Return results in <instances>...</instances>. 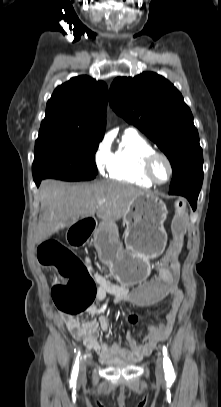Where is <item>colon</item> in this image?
I'll return each mask as SVG.
<instances>
[{"label":"colon","mask_w":221,"mask_h":407,"mask_svg":"<svg viewBox=\"0 0 221 407\" xmlns=\"http://www.w3.org/2000/svg\"><path fill=\"white\" fill-rule=\"evenodd\" d=\"M94 216H78L73 225H68V245L71 248L84 246L85 239H94ZM173 238L160 262L157 277H148L147 283H132V300L134 306L147 311L149 306H160L166 300V292H175L180 284L178 258L184 244L187 228L186 202L179 199L175 203L172 220ZM38 261L46 267H56L62 282L53 286L51 294L57 308L66 315L76 316L87 310L95 296L97 287L91 272L76 255L57 240L43 242L37 252Z\"/></svg>","instance_id":"5ec220e1"}]
</instances>
